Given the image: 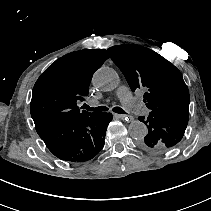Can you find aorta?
I'll list each match as a JSON object with an SVG mask.
<instances>
[{"label": "aorta", "instance_id": "aorta-1", "mask_svg": "<svg viewBox=\"0 0 211 211\" xmlns=\"http://www.w3.org/2000/svg\"><path fill=\"white\" fill-rule=\"evenodd\" d=\"M93 85L104 91L114 90L119 84V77L115 70L104 67L98 69L92 79ZM129 134L134 139H141L147 135L148 129L146 125L139 121L133 120L128 127Z\"/></svg>", "mask_w": 211, "mask_h": 211}]
</instances>
